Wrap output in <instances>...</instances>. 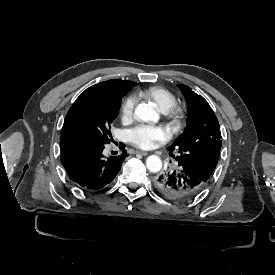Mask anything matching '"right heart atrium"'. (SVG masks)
<instances>
[{
  "instance_id": "obj_1",
  "label": "right heart atrium",
  "mask_w": 275,
  "mask_h": 275,
  "mask_svg": "<svg viewBox=\"0 0 275 275\" xmlns=\"http://www.w3.org/2000/svg\"><path fill=\"white\" fill-rule=\"evenodd\" d=\"M135 103L136 101L133 97H127L123 100L121 105V119L123 122L132 120Z\"/></svg>"
}]
</instances>
